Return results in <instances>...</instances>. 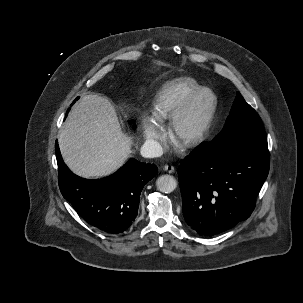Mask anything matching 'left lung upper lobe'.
Here are the masks:
<instances>
[{"mask_svg":"<svg viewBox=\"0 0 303 303\" xmlns=\"http://www.w3.org/2000/svg\"><path fill=\"white\" fill-rule=\"evenodd\" d=\"M236 144L243 148L269 154L263 123L256 111L237 92L230 115L222 131L210 145Z\"/></svg>","mask_w":303,"mask_h":303,"instance_id":"1","label":"left lung upper lobe"}]
</instances>
